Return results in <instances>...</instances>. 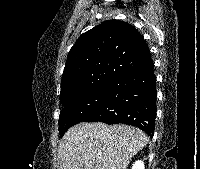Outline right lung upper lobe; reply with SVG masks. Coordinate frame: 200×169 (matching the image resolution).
Segmentation results:
<instances>
[{
	"label": "right lung upper lobe",
	"instance_id": "right-lung-upper-lobe-1",
	"mask_svg": "<svg viewBox=\"0 0 200 169\" xmlns=\"http://www.w3.org/2000/svg\"><path fill=\"white\" fill-rule=\"evenodd\" d=\"M153 65L144 38L132 25L108 20L82 34L70 49L60 100L104 79H115Z\"/></svg>",
	"mask_w": 200,
	"mask_h": 169
}]
</instances>
